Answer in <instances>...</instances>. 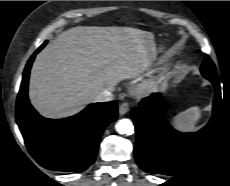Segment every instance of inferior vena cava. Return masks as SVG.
<instances>
[{"label": "inferior vena cava", "instance_id": "obj_1", "mask_svg": "<svg viewBox=\"0 0 230 186\" xmlns=\"http://www.w3.org/2000/svg\"><path fill=\"white\" fill-rule=\"evenodd\" d=\"M112 99H113L112 91L110 90H104L94 97L95 102H108L111 101Z\"/></svg>", "mask_w": 230, "mask_h": 186}]
</instances>
